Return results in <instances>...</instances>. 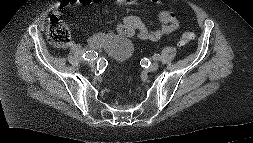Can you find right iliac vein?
I'll use <instances>...</instances> for the list:
<instances>
[{"mask_svg": "<svg viewBox=\"0 0 253 143\" xmlns=\"http://www.w3.org/2000/svg\"><path fill=\"white\" fill-rule=\"evenodd\" d=\"M95 65H96V63H95L94 61H90V62H89V66H90L91 68H94Z\"/></svg>", "mask_w": 253, "mask_h": 143, "instance_id": "1", "label": "right iliac vein"}]
</instances>
